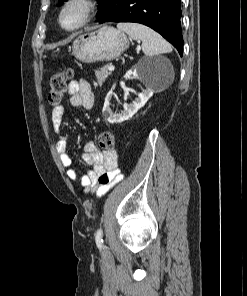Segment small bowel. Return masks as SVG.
<instances>
[{"instance_id": "small-bowel-1", "label": "small bowel", "mask_w": 247, "mask_h": 296, "mask_svg": "<svg viewBox=\"0 0 247 296\" xmlns=\"http://www.w3.org/2000/svg\"><path fill=\"white\" fill-rule=\"evenodd\" d=\"M69 102L72 107L89 109L94 104V94L89 83L83 79L72 80L68 84ZM65 108L61 105L51 112L52 127L57 135L55 143L59 159L65 169L67 178L75 183L80 182L85 193L93 192L96 197H103L109 189L120 180L114 151L102 152L95 142H88L84 146L83 160L91 166L87 172L75 168L67 151L69 133L61 129ZM109 176L107 184L100 183V177Z\"/></svg>"}]
</instances>
